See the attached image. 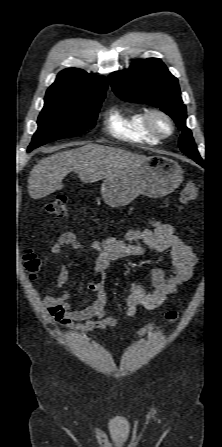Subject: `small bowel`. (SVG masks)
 Instances as JSON below:
<instances>
[{
  "label": "small bowel",
  "mask_w": 222,
  "mask_h": 447,
  "mask_svg": "<svg viewBox=\"0 0 222 447\" xmlns=\"http://www.w3.org/2000/svg\"><path fill=\"white\" fill-rule=\"evenodd\" d=\"M149 224L148 229L129 231L126 240L110 235L92 243V247L97 252L93 271L102 275L101 280L92 278L88 282V288L96 295V299L85 308L72 310L69 290L45 297L42 304L57 324L76 332L116 326L117 319L106 311L107 296L104 290L103 274L112 261L142 256L146 249L157 254H168L170 263L167 269L156 268L152 271L153 289L150 292H146L140 282L130 286L126 297L127 317L135 316L140 307L155 310L165 303L168 296L176 294L181 284L191 279L196 256L191 248L177 236L176 227L153 218L149 219ZM64 247L82 250L84 244L77 235L66 232L51 245L50 253L58 258ZM68 279L69 269L64 268L57 278L58 290L62 289Z\"/></svg>",
  "instance_id": "small-bowel-1"
}]
</instances>
